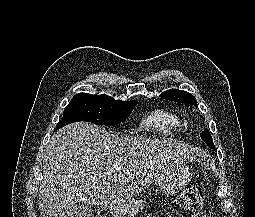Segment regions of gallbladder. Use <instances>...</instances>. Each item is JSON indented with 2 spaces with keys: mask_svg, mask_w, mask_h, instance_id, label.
I'll return each mask as SVG.
<instances>
[{
  "mask_svg": "<svg viewBox=\"0 0 255 217\" xmlns=\"http://www.w3.org/2000/svg\"><path fill=\"white\" fill-rule=\"evenodd\" d=\"M92 206L84 203H77L69 212L68 217H92Z\"/></svg>",
  "mask_w": 255,
  "mask_h": 217,
  "instance_id": "gallbladder-1",
  "label": "gallbladder"
}]
</instances>
